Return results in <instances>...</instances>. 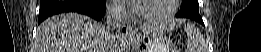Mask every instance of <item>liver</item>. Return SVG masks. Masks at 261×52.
<instances>
[{"instance_id":"obj_1","label":"liver","mask_w":261,"mask_h":52,"mask_svg":"<svg viewBox=\"0 0 261 52\" xmlns=\"http://www.w3.org/2000/svg\"><path fill=\"white\" fill-rule=\"evenodd\" d=\"M157 29L167 30L158 26ZM120 45L116 38L106 39L102 23L85 15L67 13L50 17L40 24L34 52H121Z\"/></svg>"}]
</instances>
